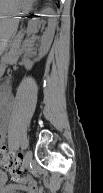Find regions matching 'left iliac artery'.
I'll use <instances>...</instances> for the list:
<instances>
[{
    "mask_svg": "<svg viewBox=\"0 0 103 193\" xmlns=\"http://www.w3.org/2000/svg\"><path fill=\"white\" fill-rule=\"evenodd\" d=\"M22 150L24 151L27 148V143L23 142L21 145Z\"/></svg>",
    "mask_w": 103,
    "mask_h": 193,
    "instance_id": "obj_1",
    "label": "left iliac artery"
}]
</instances>
